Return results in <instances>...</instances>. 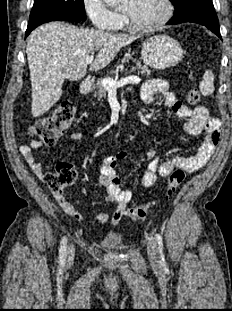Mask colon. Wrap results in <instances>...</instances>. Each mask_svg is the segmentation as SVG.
Returning <instances> with one entry per match:
<instances>
[{"instance_id":"5ec220e1","label":"colon","mask_w":232,"mask_h":311,"mask_svg":"<svg viewBox=\"0 0 232 311\" xmlns=\"http://www.w3.org/2000/svg\"><path fill=\"white\" fill-rule=\"evenodd\" d=\"M200 100L198 89H190L187 94V102L190 105L196 104ZM75 106L71 101H62L57 108L48 116L36 119L29 127V133L39 137L47 144L54 143L57 138L70 127L74 121ZM185 177L181 169L174 170L167 182L165 197H170L180 186ZM76 178V172L68 164H60L56 171L46 175V182L49 188L56 193H61L64 188L71 185ZM153 204L137 205L129 208L125 214L132 221L145 219Z\"/></svg>"}]
</instances>
